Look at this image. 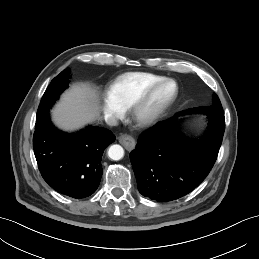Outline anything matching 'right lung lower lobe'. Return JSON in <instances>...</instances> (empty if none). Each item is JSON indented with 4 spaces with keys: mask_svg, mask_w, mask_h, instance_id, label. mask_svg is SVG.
Here are the masks:
<instances>
[{
    "mask_svg": "<svg viewBox=\"0 0 259 259\" xmlns=\"http://www.w3.org/2000/svg\"><path fill=\"white\" fill-rule=\"evenodd\" d=\"M115 139L102 127L64 134L53 127L48 114L35 125L33 149L43 179L60 194L82 199L98 188L103 152Z\"/></svg>",
    "mask_w": 259,
    "mask_h": 259,
    "instance_id": "obj_1",
    "label": "right lung lower lobe"
}]
</instances>
